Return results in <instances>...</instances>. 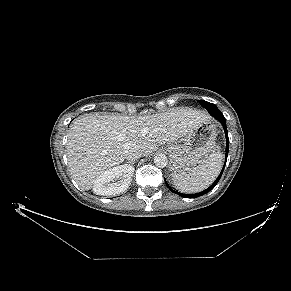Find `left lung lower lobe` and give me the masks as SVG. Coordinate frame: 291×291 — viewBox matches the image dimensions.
<instances>
[{"label":"left lung lower lobe","instance_id":"1","mask_svg":"<svg viewBox=\"0 0 291 291\" xmlns=\"http://www.w3.org/2000/svg\"><path fill=\"white\" fill-rule=\"evenodd\" d=\"M211 115H213L215 118H217L223 125L224 127V131H225V134H226V139H227V146H226V157L228 156V150H229V139H228V132H227V128H226V119L225 117L223 116V114L218 111V112H213ZM227 160V158H226ZM226 163V162H225ZM225 166V164H224ZM224 171V167L223 169L221 170V172L219 173V175L217 176V178L214 180V182L205 190H203L202 192H199V193H195V194H183V193H180V192H177L173 189H171L168 185V188L170 189V191H172L173 193L175 194H178L182 197H185V198H197L199 196H202L206 193H208L209 191H211L216 185L217 183L219 182L220 178H221V175Z\"/></svg>","mask_w":291,"mask_h":291}]
</instances>
